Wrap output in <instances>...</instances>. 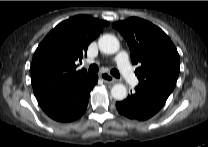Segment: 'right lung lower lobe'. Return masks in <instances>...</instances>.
Instances as JSON below:
<instances>
[{
	"label": "right lung lower lobe",
	"instance_id": "98d812e1",
	"mask_svg": "<svg viewBox=\"0 0 208 147\" xmlns=\"http://www.w3.org/2000/svg\"><path fill=\"white\" fill-rule=\"evenodd\" d=\"M97 80V75H87L62 92L38 99V103L52 119L59 122L74 121L84 114L90 91Z\"/></svg>",
	"mask_w": 208,
	"mask_h": 147
}]
</instances>
